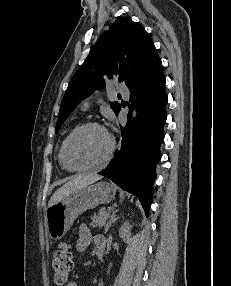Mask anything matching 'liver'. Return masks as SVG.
Returning <instances> with one entry per match:
<instances>
[{
  "label": "liver",
  "instance_id": "liver-1",
  "mask_svg": "<svg viewBox=\"0 0 231 286\" xmlns=\"http://www.w3.org/2000/svg\"><path fill=\"white\" fill-rule=\"evenodd\" d=\"M101 179V176L94 175V174H87V175H80L71 181H68L62 187H60L50 198L48 203V207L52 206L53 204L61 201L63 198L67 197L74 191L86 187L98 180Z\"/></svg>",
  "mask_w": 231,
  "mask_h": 286
}]
</instances>
